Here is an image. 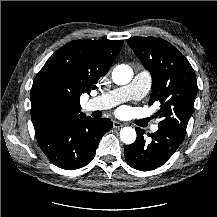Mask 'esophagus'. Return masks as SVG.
Returning a JSON list of instances; mask_svg holds the SVG:
<instances>
[{
	"instance_id": "obj_1",
	"label": "esophagus",
	"mask_w": 217,
	"mask_h": 217,
	"mask_svg": "<svg viewBox=\"0 0 217 217\" xmlns=\"http://www.w3.org/2000/svg\"><path fill=\"white\" fill-rule=\"evenodd\" d=\"M123 126L122 123L118 122V121H113V127L114 128H121Z\"/></svg>"
}]
</instances>
